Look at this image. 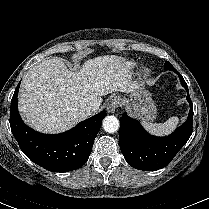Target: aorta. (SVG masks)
I'll return each instance as SVG.
<instances>
[{"label": "aorta", "instance_id": "obj_1", "mask_svg": "<svg viewBox=\"0 0 209 209\" xmlns=\"http://www.w3.org/2000/svg\"><path fill=\"white\" fill-rule=\"evenodd\" d=\"M102 126L106 132L114 133L118 131L120 123L117 117L111 115L104 118Z\"/></svg>", "mask_w": 209, "mask_h": 209}]
</instances>
